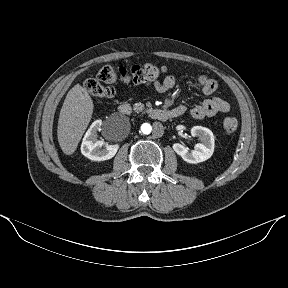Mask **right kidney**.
Returning <instances> with one entry per match:
<instances>
[{
	"label": "right kidney",
	"instance_id": "right-kidney-1",
	"mask_svg": "<svg viewBox=\"0 0 288 288\" xmlns=\"http://www.w3.org/2000/svg\"><path fill=\"white\" fill-rule=\"evenodd\" d=\"M101 130L102 120L94 121L86 132L81 144V153L93 161L109 160L115 156L119 149L118 144L107 145L105 149H101L104 142L97 140V132Z\"/></svg>",
	"mask_w": 288,
	"mask_h": 288
}]
</instances>
